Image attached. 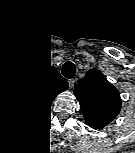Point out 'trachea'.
Masks as SVG:
<instances>
[{
	"label": "trachea",
	"mask_w": 135,
	"mask_h": 153,
	"mask_svg": "<svg viewBox=\"0 0 135 153\" xmlns=\"http://www.w3.org/2000/svg\"><path fill=\"white\" fill-rule=\"evenodd\" d=\"M63 75L72 78L75 74V65L72 62H66L63 66Z\"/></svg>",
	"instance_id": "trachea-1"
}]
</instances>
